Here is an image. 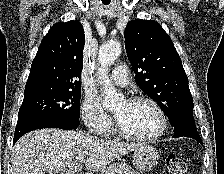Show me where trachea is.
<instances>
[{
    "instance_id": "3493384b",
    "label": "trachea",
    "mask_w": 224,
    "mask_h": 174,
    "mask_svg": "<svg viewBox=\"0 0 224 174\" xmlns=\"http://www.w3.org/2000/svg\"><path fill=\"white\" fill-rule=\"evenodd\" d=\"M102 1H106V0H102ZM103 3L107 4V2H103Z\"/></svg>"
}]
</instances>
